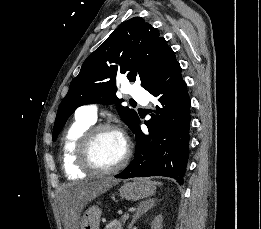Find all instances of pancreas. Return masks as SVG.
I'll return each mask as SVG.
<instances>
[{
	"mask_svg": "<svg viewBox=\"0 0 261 229\" xmlns=\"http://www.w3.org/2000/svg\"><path fill=\"white\" fill-rule=\"evenodd\" d=\"M123 219L125 217H121L119 221H112V223H109V225H106L105 229H123V225L126 222H123Z\"/></svg>",
	"mask_w": 261,
	"mask_h": 229,
	"instance_id": "pancreas-1",
	"label": "pancreas"
}]
</instances>
